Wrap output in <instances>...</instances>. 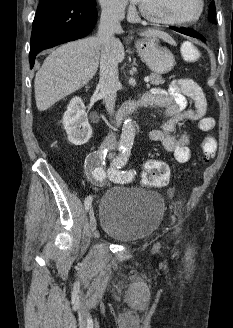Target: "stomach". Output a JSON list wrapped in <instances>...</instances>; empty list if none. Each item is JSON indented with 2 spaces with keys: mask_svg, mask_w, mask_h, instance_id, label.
<instances>
[{
  "mask_svg": "<svg viewBox=\"0 0 233 328\" xmlns=\"http://www.w3.org/2000/svg\"><path fill=\"white\" fill-rule=\"evenodd\" d=\"M136 49L148 65L157 74H164L172 70L175 65L173 54L160 46L157 37H146L136 41Z\"/></svg>",
  "mask_w": 233,
  "mask_h": 328,
  "instance_id": "0dacf381",
  "label": "stomach"
}]
</instances>
